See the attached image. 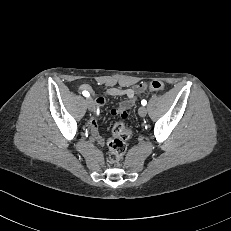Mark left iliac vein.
Returning <instances> with one entry per match:
<instances>
[{
    "label": "left iliac vein",
    "instance_id": "4c4485c4",
    "mask_svg": "<svg viewBox=\"0 0 231 231\" xmlns=\"http://www.w3.org/2000/svg\"><path fill=\"white\" fill-rule=\"evenodd\" d=\"M138 113L141 117H145L146 114H147V109L145 107H140L139 110H138Z\"/></svg>",
    "mask_w": 231,
    "mask_h": 231
}]
</instances>
